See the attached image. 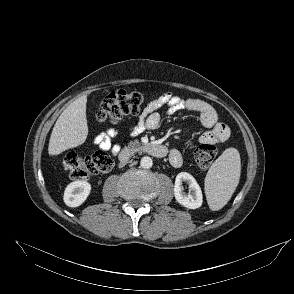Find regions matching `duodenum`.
<instances>
[{"label": "duodenum", "mask_w": 294, "mask_h": 294, "mask_svg": "<svg viewBox=\"0 0 294 294\" xmlns=\"http://www.w3.org/2000/svg\"><path fill=\"white\" fill-rule=\"evenodd\" d=\"M137 149L141 152L148 153L156 158H162L166 156L167 154V147L162 144H146V145L140 146ZM135 150L136 148H132V147H126L122 149L118 156L119 161L121 163H126L130 159L131 155L133 154Z\"/></svg>", "instance_id": "1"}]
</instances>
